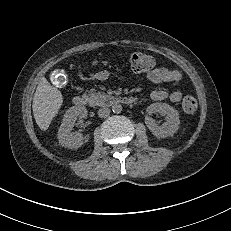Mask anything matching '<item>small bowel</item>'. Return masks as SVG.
I'll list each match as a JSON object with an SVG mask.
<instances>
[{"mask_svg": "<svg viewBox=\"0 0 231 231\" xmlns=\"http://www.w3.org/2000/svg\"><path fill=\"white\" fill-rule=\"evenodd\" d=\"M110 77L111 73L107 70H101L90 75V79L92 80H106ZM147 78L150 82L157 85L165 83L175 84L180 82L182 75L178 70L157 67L147 74ZM150 97L154 101L168 99L173 103H177L182 99V92L180 90H173L170 92L166 90H154L150 93Z\"/></svg>", "mask_w": 231, "mask_h": 231, "instance_id": "1", "label": "small bowel"}]
</instances>
